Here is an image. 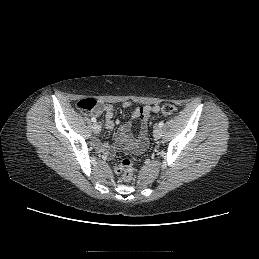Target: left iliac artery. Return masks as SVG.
<instances>
[{
  "mask_svg": "<svg viewBox=\"0 0 259 259\" xmlns=\"http://www.w3.org/2000/svg\"><path fill=\"white\" fill-rule=\"evenodd\" d=\"M163 125H164L163 121L159 122V124H158L159 127H163Z\"/></svg>",
  "mask_w": 259,
  "mask_h": 259,
  "instance_id": "obj_1",
  "label": "left iliac artery"
}]
</instances>
